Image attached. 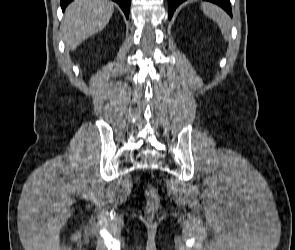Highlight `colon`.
Returning <instances> with one entry per match:
<instances>
[{"instance_id": "obj_1", "label": "colon", "mask_w": 295, "mask_h": 250, "mask_svg": "<svg viewBox=\"0 0 295 250\" xmlns=\"http://www.w3.org/2000/svg\"><path fill=\"white\" fill-rule=\"evenodd\" d=\"M146 207L145 213L148 217H153L160 205V197L157 190L152 186L148 185L145 190Z\"/></svg>"}]
</instances>
